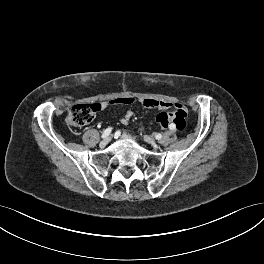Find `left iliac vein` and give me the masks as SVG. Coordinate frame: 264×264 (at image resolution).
<instances>
[{
	"label": "left iliac vein",
	"instance_id": "4c4485c4",
	"mask_svg": "<svg viewBox=\"0 0 264 264\" xmlns=\"http://www.w3.org/2000/svg\"><path fill=\"white\" fill-rule=\"evenodd\" d=\"M144 139H145L146 142H148L150 144L154 143V139L152 137L148 136V135H145Z\"/></svg>",
	"mask_w": 264,
	"mask_h": 264
}]
</instances>
